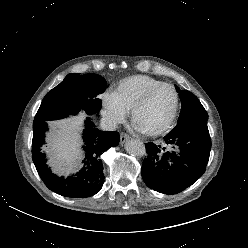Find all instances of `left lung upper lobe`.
<instances>
[{
    "label": "left lung upper lobe",
    "mask_w": 248,
    "mask_h": 248,
    "mask_svg": "<svg viewBox=\"0 0 248 248\" xmlns=\"http://www.w3.org/2000/svg\"><path fill=\"white\" fill-rule=\"evenodd\" d=\"M179 93L182 107L178 123L197 122L201 120H208V114L198 98L189 91L180 89L176 86Z\"/></svg>",
    "instance_id": "5c2ea615"
}]
</instances>
